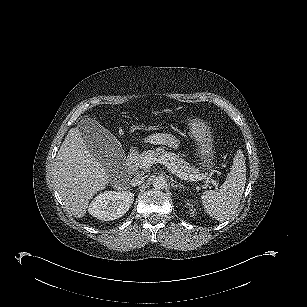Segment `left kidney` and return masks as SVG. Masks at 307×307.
<instances>
[{"label":"left kidney","mask_w":307,"mask_h":307,"mask_svg":"<svg viewBox=\"0 0 307 307\" xmlns=\"http://www.w3.org/2000/svg\"><path fill=\"white\" fill-rule=\"evenodd\" d=\"M187 205H189V207H190V206H193L192 204H189V203H187ZM192 208H193V207H192ZM192 208L190 209V212H191L190 214H192V216H194V213H195L194 211H195V210H193Z\"/></svg>","instance_id":"obj_1"}]
</instances>
